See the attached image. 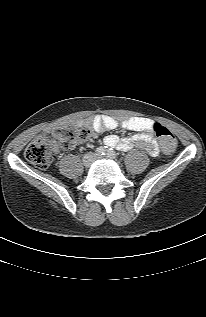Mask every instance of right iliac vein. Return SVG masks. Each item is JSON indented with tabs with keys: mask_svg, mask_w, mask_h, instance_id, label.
Here are the masks:
<instances>
[{
	"mask_svg": "<svg viewBox=\"0 0 206 317\" xmlns=\"http://www.w3.org/2000/svg\"><path fill=\"white\" fill-rule=\"evenodd\" d=\"M94 156L92 154H88L84 157V165L89 167L93 162Z\"/></svg>",
	"mask_w": 206,
	"mask_h": 317,
	"instance_id": "63e3f726",
	"label": "right iliac vein"
}]
</instances>
